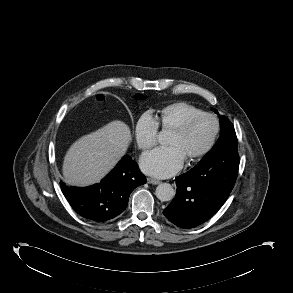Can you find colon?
<instances>
[{"mask_svg":"<svg viewBox=\"0 0 293 293\" xmlns=\"http://www.w3.org/2000/svg\"><path fill=\"white\" fill-rule=\"evenodd\" d=\"M97 100L99 101V102H104L105 101V97L103 96V95H99L98 97H97Z\"/></svg>","mask_w":293,"mask_h":293,"instance_id":"obj_1","label":"colon"}]
</instances>
